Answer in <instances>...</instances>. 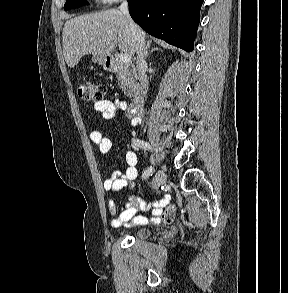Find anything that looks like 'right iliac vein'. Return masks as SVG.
<instances>
[{
	"label": "right iliac vein",
	"instance_id": "1",
	"mask_svg": "<svg viewBox=\"0 0 288 293\" xmlns=\"http://www.w3.org/2000/svg\"><path fill=\"white\" fill-rule=\"evenodd\" d=\"M165 181H166V175L164 171L158 170V172L156 173L153 179V183H152L153 190H158L159 187L165 183Z\"/></svg>",
	"mask_w": 288,
	"mask_h": 293
}]
</instances>
